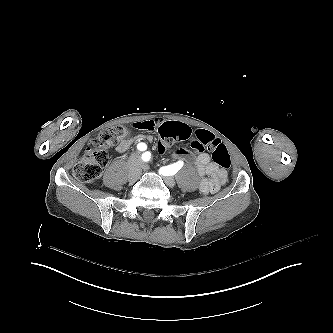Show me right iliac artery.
Listing matches in <instances>:
<instances>
[{
	"label": "right iliac artery",
	"mask_w": 333,
	"mask_h": 333,
	"mask_svg": "<svg viewBox=\"0 0 333 333\" xmlns=\"http://www.w3.org/2000/svg\"><path fill=\"white\" fill-rule=\"evenodd\" d=\"M137 148H138V150H140V151H144V150L147 149V146H146L145 143H139V144L137 145Z\"/></svg>",
	"instance_id": "right-iliac-artery-1"
}]
</instances>
